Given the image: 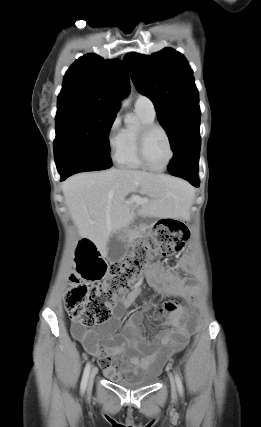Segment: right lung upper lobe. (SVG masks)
Listing matches in <instances>:
<instances>
[{"label": "right lung upper lobe", "mask_w": 261, "mask_h": 427, "mask_svg": "<svg viewBox=\"0 0 261 427\" xmlns=\"http://www.w3.org/2000/svg\"><path fill=\"white\" fill-rule=\"evenodd\" d=\"M128 92V72L122 60L87 54L66 72L57 109L91 108L116 114L120 99Z\"/></svg>", "instance_id": "obj_1"}]
</instances>
